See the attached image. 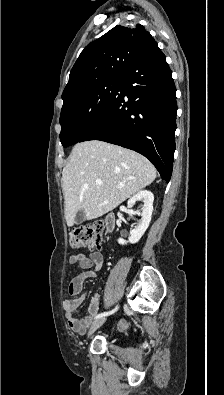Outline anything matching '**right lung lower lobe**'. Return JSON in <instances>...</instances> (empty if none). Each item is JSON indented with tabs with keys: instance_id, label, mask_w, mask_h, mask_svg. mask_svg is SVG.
<instances>
[{
	"instance_id": "obj_1",
	"label": "right lung lower lobe",
	"mask_w": 224,
	"mask_h": 395,
	"mask_svg": "<svg viewBox=\"0 0 224 395\" xmlns=\"http://www.w3.org/2000/svg\"><path fill=\"white\" fill-rule=\"evenodd\" d=\"M176 89L165 55L149 40L130 64L108 106L79 142L101 140L147 157L170 181L175 151Z\"/></svg>"
}]
</instances>
